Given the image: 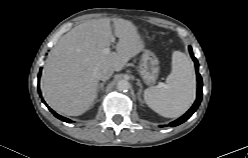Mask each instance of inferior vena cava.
Here are the masks:
<instances>
[{
	"instance_id": "inferior-vena-cava-1",
	"label": "inferior vena cava",
	"mask_w": 248,
	"mask_h": 158,
	"mask_svg": "<svg viewBox=\"0 0 248 158\" xmlns=\"http://www.w3.org/2000/svg\"><path fill=\"white\" fill-rule=\"evenodd\" d=\"M113 74V69L112 68H105L99 73V79L100 80H107L109 79Z\"/></svg>"
}]
</instances>
